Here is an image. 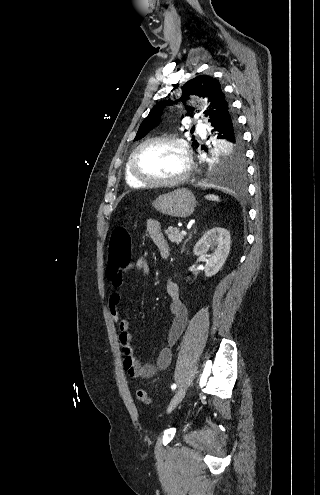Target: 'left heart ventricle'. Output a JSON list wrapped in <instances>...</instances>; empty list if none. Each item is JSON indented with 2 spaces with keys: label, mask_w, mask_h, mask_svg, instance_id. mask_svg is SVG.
<instances>
[{
  "label": "left heart ventricle",
  "mask_w": 320,
  "mask_h": 495,
  "mask_svg": "<svg viewBox=\"0 0 320 495\" xmlns=\"http://www.w3.org/2000/svg\"><path fill=\"white\" fill-rule=\"evenodd\" d=\"M138 171L152 179H172L184 168V158L177 146L155 142L145 146L137 155Z\"/></svg>",
  "instance_id": "1"
}]
</instances>
